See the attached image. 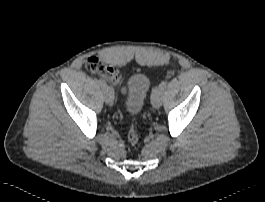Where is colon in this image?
Returning a JSON list of instances; mask_svg holds the SVG:
<instances>
[{
    "label": "colon",
    "instance_id": "obj_1",
    "mask_svg": "<svg viewBox=\"0 0 265 202\" xmlns=\"http://www.w3.org/2000/svg\"><path fill=\"white\" fill-rule=\"evenodd\" d=\"M107 72L111 73V70H107ZM171 76V73H169ZM128 139L132 146H136L139 142V134L136 127L132 126L128 132Z\"/></svg>",
    "mask_w": 265,
    "mask_h": 202
}]
</instances>
